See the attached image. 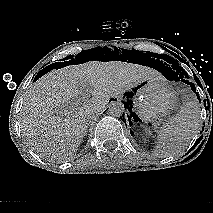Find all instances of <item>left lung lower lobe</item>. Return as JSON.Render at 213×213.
Wrapping results in <instances>:
<instances>
[{
    "label": "left lung lower lobe",
    "mask_w": 213,
    "mask_h": 213,
    "mask_svg": "<svg viewBox=\"0 0 213 213\" xmlns=\"http://www.w3.org/2000/svg\"><path fill=\"white\" fill-rule=\"evenodd\" d=\"M179 79V78H178ZM182 80V79H181ZM186 83L187 84H190V86H191V89L196 93V90H195V85L193 84V83H189L187 80H186ZM196 95H197V93H196ZM197 98H198V100L200 101V97H199V95H197ZM123 102V101H122ZM124 104H125V102H123ZM123 115H124V113H123Z\"/></svg>",
    "instance_id": "left-lung-lower-lobe-1"
}]
</instances>
